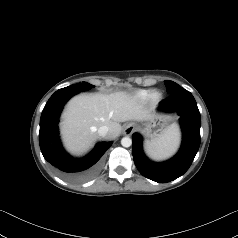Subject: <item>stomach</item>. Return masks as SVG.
Returning a JSON list of instances; mask_svg holds the SVG:
<instances>
[{
  "label": "stomach",
  "mask_w": 238,
  "mask_h": 238,
  "mask_svg": "<svg viewBox=\"0 0 238 238\" xmlns=\"http://www.w3.org/2000/svg\"><path fill=\"white\" fill-rule=\"evenodd\" d=\"M171 118L166 115L152 116L149 120L139 127L148 142L159 138L170 126Z\"/></svg>",
  "instance_id": "obj_1"
}]
</instances>
